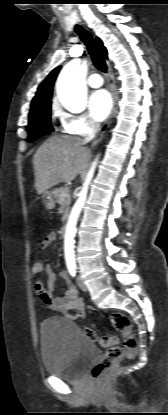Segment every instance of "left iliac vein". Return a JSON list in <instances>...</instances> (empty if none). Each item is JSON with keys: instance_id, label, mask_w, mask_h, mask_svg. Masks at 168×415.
I'll list each match as a JSON object with an SVG mask.
<instances>
[{"instance_id": "1", "label": "left iliac vein", "mask_w": 168, "mask_h": 415, "mask_svg": "<svg viewBox=\"0 0 168 415\" xmlns=\"http://www.w3.org/2000/svg\"><path fill=\"white\" fill-rule=\"evenodd\" d=\"M77 284L82 291H87V286L85 285L83 279L78 275Z\"/></svg>"}]
</instances>
